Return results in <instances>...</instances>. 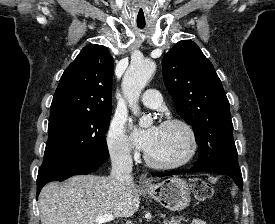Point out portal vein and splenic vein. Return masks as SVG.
I'll return each instance as SVG.
<instances>
[{"instance_id": "1", "label": "portal vein and splenic vein", "mask_w": 275, "mask_h": 224, "mask_svg": "<svg viewBox=\"0 0 275 224\" xmlns=\"http://www.w3.org/2000/svg\"><path fill=\"white\" fill-rule=\"evenodd\" d=\"M114 219L115 218L112 215H103V216L96 217L94 221L97 224H103V223L110 222Z\"/></svg>"}]
</instances>
